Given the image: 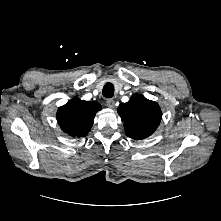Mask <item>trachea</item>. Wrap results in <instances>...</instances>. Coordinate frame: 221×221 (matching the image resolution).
Wrapping results in <instances>:
<instances>
[{
  "instance_id": "1",
  "label": "trachea",
  "mask_w": 221,
  "mask_h": 221,
  "mask_svg": "<svg viewBox=\"0 0 221 221\" xmlns=\"http://www.w3.org/2000/svg\"><path fill=\"white\" fill-rule=\"evenodd\" d=\"M114 95V86L111 83H106L103 87V96L106 98H112Z\"/></svg>"
}]
</instances>
